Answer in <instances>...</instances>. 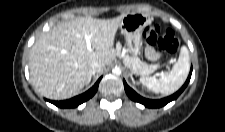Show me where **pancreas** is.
Returning a JSON list of instances; mask_svg holds the SVG:
<instances>
[{"instance_id":"cf45deb5","label":"pancreas","mask_w":225,"mask_h":132,"mask_svg":"<svg viewBox=\"0 0 225 132\" xmlns=\"http://www.w3.org/2000/svg\"><path fill=\"white\" fill-rule=\"evenodd\" d=\"M122 46L120 43L116 45V53L118 56L123 58V63L128 67L132 73L136 75H147L151 73L153 65H148L147 63L141 61L138 57H130L128 55H122Z\"/></svg>"}]
</instances>
